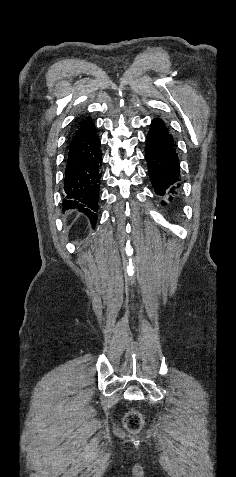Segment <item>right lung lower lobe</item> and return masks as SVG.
I'll use <instances>...</instances> for the list:
<instances>
[{
    "instance_id": "98d812e1",
    "label": "right lung lower lobe",
    "mask_w": 236,
    "mask_h": 477,
    "mask_svg": "<svg viewBox=\"0 0 236 477\" xmlns=\"http://www.w3.org/2000/svg\"><path fill=\"white\" fill-rule=\"evenodd\" d=\"M101 157L100 140L92 119L81 120L69 138L63 206L78 209L92 224L97 220Z\"/></svg>"
}]
</instances>
